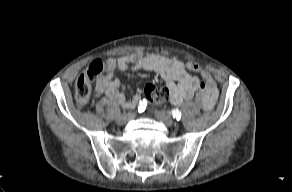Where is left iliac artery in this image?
<instances>
[{
	"label": "left iliac artery",
	"instance_id": "obj_1",
	"mask_svg": "<svg viewBox=\"0 0 292 192\" xmlns=\"http://www.w3.org/2000/svg\"><path fill=\"white\" fill-rule=\"evenodd\" d=\"M172 116H173V118L180 120L182 114L178 109H174V110H172Z\"/></svg>",
	"mask_w": 292,
	"mask_h": 192
}]
</instances>
